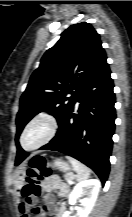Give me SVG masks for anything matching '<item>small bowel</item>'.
<instances>
[{
  "mask_svg": "<svg viewBox=\"0 0 132 217\" xmlns=\"http://www.w3.org/2000/svg\"><path fill=\"white\" fill-rule=\"evenodd\" d=\"M41 186L46 192H57L62 197H68L70 194L69 186L64 183L58 175H49L45 177L41 182ZM43 200L45 202L43 213L52 214L55 217H61L62 207H58L49 194H46ZM32 203V199H26L24 202L20 203L19 211L22 217H30L29 212Z\"/></svg>",
  "mask_w": 132,
  "mask_h": 217,
  "instance_id": "1",
  "label": "small bowel"
}]
</instances>
